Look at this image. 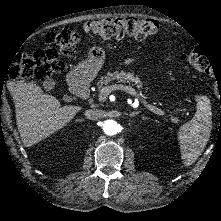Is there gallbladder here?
I'll list each match as a JSON object with an SVG mask.
<instances>
[{
	"label": "gallbladder",
	"instance_id": "1",
	"mask_svg": "<svg viewBox=\"0 0 221 221\" xmlns=\"http://www.w3.org/2000/svg\"><path fill=\"white\" fill-rule=\"evenodd\" d=\"M55 86V81L53 79H47L43 82V87L46 90H51Z\"/></svg>",
	"mask_w": 221,
	"mask_h": 221
}]
</instances>
